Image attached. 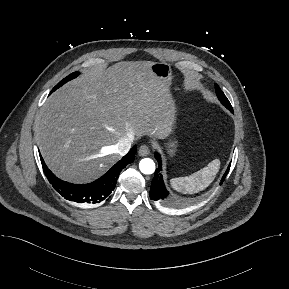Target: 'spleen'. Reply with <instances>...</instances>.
Here are the masks:
<instances>
[{"label":"spleen","instance_id":"1","mask_svg":"<svg viewBox=\"0 0 289 289\" xmlns=\"http://www.w3.org/2000/svg\"><path fill=\"white\" fill-rule=\"evenodd\" d=\"M220 160L215 159L206 167L187 177L173 178L170 184L178 192L193 194L204 190L212 183L220 169Z\"/></svg>","mask_w":289,"mask_h":289}]
</instances>
